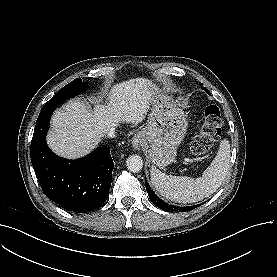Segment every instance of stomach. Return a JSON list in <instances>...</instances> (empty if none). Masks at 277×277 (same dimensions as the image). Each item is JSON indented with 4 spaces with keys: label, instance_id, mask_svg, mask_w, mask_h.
I'll list each match as a JSON object with an SVG mask.
<instances>
[{
    "label": "stomach",
    "instance_id": "obj_1",
    "mask_svg": "<svg viewBox=\"0 0 277 277\" xmlns=\"http://www.w3.org/2000/svg\"><path fill=\"white\" fill-rule=\"evenodd\" d=\"M150 84L155 90V96L146 126L139 135L149 160L158 167H165L175 160L188 123L177 102L158 90L155 84Z\"/></svg>",
    "mask_w": 277,
    "mask_h": 277
}]
</instances>
